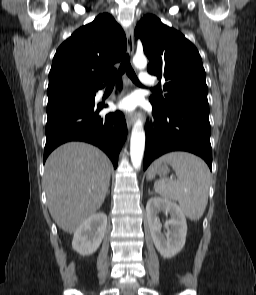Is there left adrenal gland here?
I'll return each mask as SVG.
<instances>
[{
    "instance_id": "left-adrenal-gland-1",
    "label": "left adrenal gland",
    "mask_w": 256,
    "mask_h": 295,
    "mask_svg": "<svg viewBox=\"0 0 256 295\" xmlns=\"http://www.w3.org/2000/svg\"><path fill=\"white\" fill-rule=\"evenodd\" d=\"M148 194H149V195H152V194H153V192H151V190L149 189V191H148Z\"/></svg>"
}]
</instances>
